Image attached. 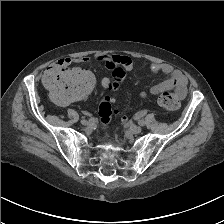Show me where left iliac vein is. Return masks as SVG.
<instances>
[{"mask_svg":"<svg viewBox=\"0 0 224 224\" xmlns=\"http://www.w3.org/2000/svg\"><path fill=\"white\" fill-rule=\"evenodd\" d=\"M130 130L133 134H139L142 131V128L140 126L134 125L130 128Z\"/></svg>","mask_w":224,"mask_h":224,"instance_id":"4c4485c4","label":"left iliac vein"}]
</instances>
